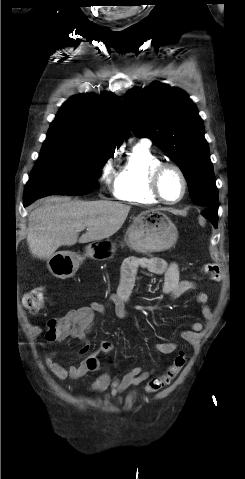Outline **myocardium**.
<instances>
[{
    "label": "myocardium",
    "mask_w": 245,
    "mask_h": 479,
    "mask_svg": "<svg viewBox=\"0 0 245 479\" xmlns=\"http://www.w3.org/2000/svg\"><path fill=\"white\" fill-rule=\"evenodd\" d=\"M169 170H173L177 173V175L179 176V178L181 180V184H182L181 195L179 196V198H177L176 200H173V201L166 199L164 197L163 193H162V190H161L162 177ZM150 189H151V192L154 194V196L159 201H161L165 204H177V203L181 202L184 199V197L186 196L187 189H188V182H187V178L185 176V173L183 172V170L177 164L171 163V162H162V163L158 164L153 169V171L151 173Z\"/></svg>",
    "instance_id": "1"
}]
</instances>
